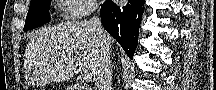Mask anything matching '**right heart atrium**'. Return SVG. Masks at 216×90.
<instances>
[{"label":"right heart atrium","mask_w":216,"mask_h":90,"mask_svg":"<svg viewBox=\"0 0 216 90\" xmlns=\"http://www.w3.org/2000/svg\"><path fill=\"white\" fill-rule=\"evenodd\" d=\"M64 6H70L63 16L68 20H80L89 12H93V6H97L95 0H63Z\"/></svg>","instance_id":"right-heart-atrium-1"}]
</instances>
